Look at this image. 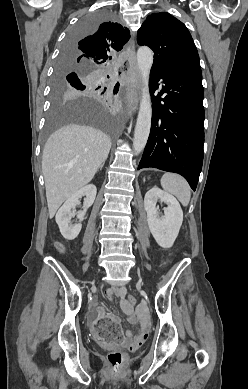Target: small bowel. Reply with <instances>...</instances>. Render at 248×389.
I'll return each mask as SVG.
<instances>
[{
	"mask_svg": "<svg viewBox=\"0 0 248 389\" xmlns=\"http://www.w3.org/2000/svg\"><path fill=\"white\" fill-rule=\"evenodd\" d=\"M105 296L109 299L118 297L122 310L128 315L129 322L132 324H139L137 335H134L130 330H127L123 339L120 340V344L128 349L134 350L138 348L146 340L150 331L144 309L138 308L136 311H133V308L128 307L127 299L125 298L126 289L124 287L110 288L105 292ZM91 315L94 316V313H91ZM108 315L113 321H119L117 315Z\"/></svg>",
	"mask_w": 248,
	"mask_h": 389,
	"instance_id": "1",
	"label": "small bowel"
}]
</instances>
